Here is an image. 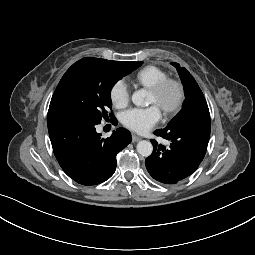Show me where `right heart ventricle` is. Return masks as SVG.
Masks as SVG:
<instances>
[{
  "instance_id": "1",
  "label": "right heart ventricle",
  "mask_w": 255,
  "mask_h": 255,
  "mask_svg": "<svg viewBox=\"0 0 255 255\" xmlns=\"http://www.w3.org/2000/svg\"><path fill=\"white\" fill-rule=\"evenodd\" d=\"M168 78L169 74L162 68L155 65H147L135 74L134 80L138 85L150 89Z\"/></svg>"
}]
</instances>
